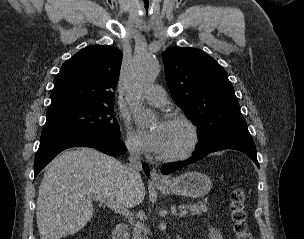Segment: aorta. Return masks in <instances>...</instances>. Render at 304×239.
Returning <instances> with one entry per match:
<instances>
[{"instance_id": "obj_1", "label": "aorta", "mask_w": 304, "mask_h": 239, "mask_svg": "<svg viewBox=\"0 0 304 239\" xmlns=\"http://www.w3.org/2000/svg\"><path fill=\"white\" fill-rule=\"evenodd\" d=\"M158 72L159 63L154 57L142 55L134 58L127 80V99L138 119L150 116L141 104L140 95L147 86L155 81Z\"/></svg>"}]
</instances>
